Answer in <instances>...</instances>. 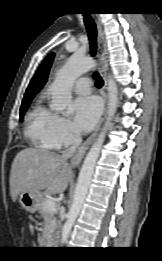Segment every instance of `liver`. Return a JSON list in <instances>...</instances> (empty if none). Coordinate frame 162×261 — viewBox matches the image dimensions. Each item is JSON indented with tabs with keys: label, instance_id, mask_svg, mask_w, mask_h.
Segmentation results:
<instances>
[{
	"label": "liver",
	"instance_id": "1",
	"mask_svg": "<svg viewBox=\"0 0 162 261\" xmlns=\"http://www.w3.org/2000/svg\"><path fill=\"white\" fill-rule=\"evenodd\" d=\"M73 178L66 159L55 152L39 148L21 150L14 158L10 173V194L15 202L23 192L48 194L64 192Z\"/></svg>",
	"mask_w": 162,
	"mask_h": 261
}]
</instances>
